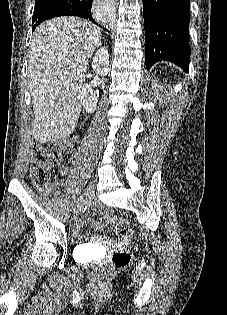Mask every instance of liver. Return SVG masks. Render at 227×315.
I'll return each mask as SVG.
<instances>
[{
    "mask_svg": "<svg viewBox=\"0 0 227 315\" xmlns=\"http://www.w3.org/2000/svg\"><path fill=\"white\" fill-rule=\"evenodd\" d=\"M100 40L99 27L75 17L47 20L34 31L28 79L36 141H56L73 132L82 108L85 72Z\"/></svg>",
    "mask_w": 227,
    "mask_h": 315,
    "instance_id": "liver-1",
    "label": "liver"
}]
</instances>
